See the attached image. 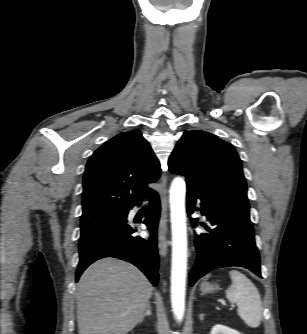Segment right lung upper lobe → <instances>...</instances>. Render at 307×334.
Returning a JSON list of instances; mask_svg holds the SVG:
<instances>
[{"instance_id":"right-lung-upper-lobe-1","label":"right lung upper lobe","mask_w":307,"mask_h":334,"mask_svg":"<svg viewBox=\"0 0 307 334\" xmlns=\"http://www.w3.org/2000/svg\"><path fill=\"white\" fill-rule=\"evenodd\" d=\"M159 161L139 130L122 132L90 157L83 177L82 216L128 212L152 191Z\"/></svg>"}]
</instances>
